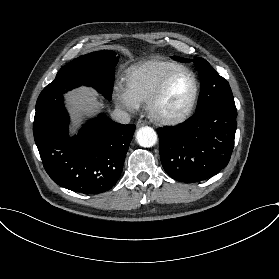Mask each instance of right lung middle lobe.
<instances>
[{
	"label": "right lung middle lobe",
	"mask_w": 279,
	"mask_h": 279,
	"mask_svg": "<svg viewBox=\"0 0 279 279\" xmlns=\"http://www.w3.org/2000/svg\"><path fill=\"white\" fill-rule=\"evenodd\" d=\"M118 57L111 50L98 51L80 56L62 67L56 78L38 97L36 108L62 96L66 91L81 85L92 86L111 100L115 65Z\"/></svg>",
	"instance_id": "obj_1"
}]
</instances>
